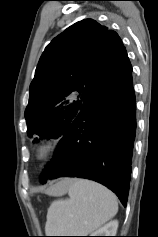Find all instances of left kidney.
I'll list each match as a JSON object with an SVG mask.
<instances>
[{
    "mask_svg": "<svg viewBox=\"0 0 158 237\" xmlns=\"http://www.w3.org/2000/svg\"><path fill=\"white\" fill-rule=\"evenodd\" d=\"M118 221L113 220L91 234V236H116Z\"/></svg>",
    "mask_w": 158,
    "mask_h": 237,
    "instance_id": "1",
    "label": "left kidney"
}]
</instances>
